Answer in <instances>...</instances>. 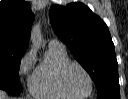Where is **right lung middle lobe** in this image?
I'll use <instances>...</instances> for the list:
<instances>
[{
	"label": "right lung middle lobe",
	"mask_w": 128,
	"mask_h": 99,
	"mask_svg": "<svg viewBox=\"0 0 128 99\" xmlns=\"http://www.w3.org/2000/svg\"><path fill=\"white\" fill-rule=\"evenodd\" d=\"M24 52L0 50V89L20 94L19 65Z\"/></svg>",
	"instance_id": "1"
}]
</instances>
